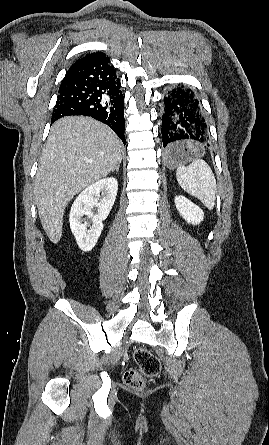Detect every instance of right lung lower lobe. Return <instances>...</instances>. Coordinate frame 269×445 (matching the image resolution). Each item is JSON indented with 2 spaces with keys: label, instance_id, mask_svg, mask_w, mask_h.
<instances>
[{
  "label": "right lung lower lobe",
  "instance_id": "1",
  "mask_svg": "<svg viewBox=\"0 0 269 445\" xmlns=\"http://www.w3.org/2000/svg\"><path fill=\"white\" fill-rule=\"evenodd\" d=\"M120 88V79L104 53L74 65L60 85L52 122L69 115L90 116L107 124L125 144Z\"/></svg>",
  "mask_w": 269,
  "mask_h": 445
}]
</instances>
